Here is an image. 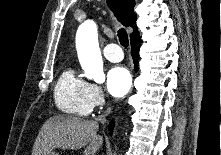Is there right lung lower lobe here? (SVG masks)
Returning a JSON list of instances; mask_svg holds the SVG:
<instances>
[{
  "instance_id": "98d812e1",
  "label": "right lung lower lobe",
  "mask_w": 221,
  "mask_h": 155,
  "mask_svg": "<svg viewBox=\"0 0 221 155\" xmlns=\"http://www.w3.org/2000/svg\"><path fill=\"white\" fill-rule=\"evenodd\" d=\"M139 49H140V36L139 33L134 35L131 38V54L134 60V69L137 71L138 70V58H139ZM114 123L111 122L109 125V129H113Z\"/></svg>"
}]
</instances>
